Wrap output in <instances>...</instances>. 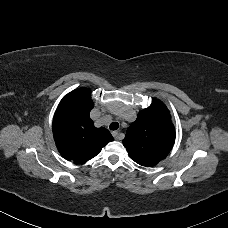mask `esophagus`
<instances>
[{
  "label": "esophagus",
  "instance_id": "esophagus-1",
  "mask_svg": "<svg viewBox=\"0 0 228 228\" xmlns=\"http://www.w3.org/2000/svg\"><path fill=\"white\" fill-rule=\"evenodd\" d=\"M112 135L113 137L116 139V140H120L121 139V135L122 133L121 132H112Z\"/></svg>",
  "mask_w": 228,
  "mask_h": 228
}]
</instances>
